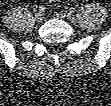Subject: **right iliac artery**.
Masks as SVG:
<instances>
[{"label": "right iliac artery", "instance_id": "1", "mask_svg": "<svg viewBox=\"0 0 111 106\" xmlns=\"http://www.w3.org/2000/svg\"><path fill=\"white\" fill-rule=\"evenodd\" d=\"M38 10H39L40 12H43V11L45 10V7H44V6H39V7H38Z\"/></svg>", "mask_w": 111, "mask_h": 106}]
</instances>
